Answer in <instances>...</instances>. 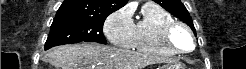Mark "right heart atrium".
Masks as SVG:
<instances>
[{"label":"right heart atrium","instance_id":"1","mask_svg":"<svg viewBox=\"0 0 246 69\" xmlns=\"http://www.w3.org/2000/svg\"><path fill=\"white\" fill-rule=\"evenodd\" d=\"M134 23L128 9L121 8L110 14L104 22L103 31L110 43L130 48Z\"/></svg>","mask_w":246,"mask_h":69}]
</instances>
